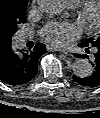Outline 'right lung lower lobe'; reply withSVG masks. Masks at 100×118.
<instances>
[{
    "label": "right lung lower lobe",
    "mask_w": 100,
    "mask_h": 118,
    "mask_svg": "<svg viewBox=\"0 0 100 118\" xmlns=\"http://www.w3.org/2000/svg\"><path fill=\"white\" fill-rule=\"evenodd\" d=\"M46 53L45 45L37 43L32 50H15L11 46L0 51V79L8 85H23L37 74V62Z\"/></svg>",
    "instance_id": "right-lung-lower-lobe-1"
}]
</instances>
